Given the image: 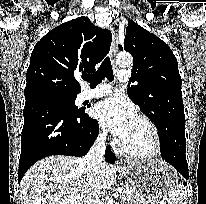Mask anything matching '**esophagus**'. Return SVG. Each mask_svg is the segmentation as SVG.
Masks as SVG:
<instances>
[{
	"mask_svg": "<svg viewBox=\"0 0 206 204\" xmlns=\"http://www.w3.org/2000/svg\"><path fill=\"white\" fill-rule=\"evenodd\" d=\"M110 31L112 33V43H111V48H110V57H111L112 62H114L115 55L117 53L116 34H115L112 27H110ZM117 167L118 168H123V165L120 161L117 162Z\"/></svg>",
	"mask_w": 206,
	"mask_h": 204,
	"instance_id": "1",
	"label": "esophagus"
}]
</instances>
